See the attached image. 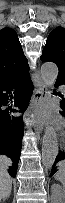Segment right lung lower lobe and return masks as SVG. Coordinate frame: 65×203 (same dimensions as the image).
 <instances>
[{
	"label": "right lung lower lobe",
	"mask_w": 65,
	"mask_h": 203,
	"mask_svg": "<svg viewBox=\"0 0 65 203\" xmlns=\"http://www.w3.org/2000/svg\"><path fill=\"white\" fill-rule=\"evenodd\" d=\"M14 93L16 109L4 108ZM33 92V84L29 75L18 80L0 85V154L9 156L13 165L9 174L16 176L23 137V117L15 113H24Z\"/></svg>",
	"instance_id": "98d812e1"
}]
</instances>
